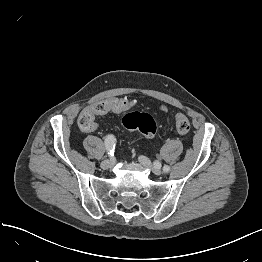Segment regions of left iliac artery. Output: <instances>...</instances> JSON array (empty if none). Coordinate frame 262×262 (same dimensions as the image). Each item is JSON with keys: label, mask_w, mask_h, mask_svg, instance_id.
Returning <instances> with one entry per match:
<instances>
[{"label": "left iliac artery", "mask_w": 262, "mask_h": 262, "mask_svg": "<svg viewBox=\"0 0 262 262\" xmlns=\"http://www.w3.org/2000/svg\"><path fill=\"white\" fill-rule=\"evenodd\" d=\"M169 170H170V167H169L168 165H165V166L163 167V171H164V172H169Z\"/></svg>", "instance_id": "44dca946"}]
</instances>
